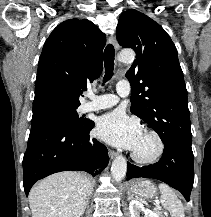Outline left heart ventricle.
Listing matches in <instances>:
<instances>
[{
	"mask_svg": "<svg viewBox=\"0 0 211 217\" xmlns=\"http://www.w3.org/2000/svg\"><path fill=\"white\" fill-rule=\"evenodd\" d=\"M155 150V140L151 136L143 133L137 147L133 151L140 156H150Z\"/></svg>",
	"mask_w": 211,
	"mask_h": 217,
	"instance_id": "obj_1",
	"label": "left heart ventricle"
}]
</instances>
